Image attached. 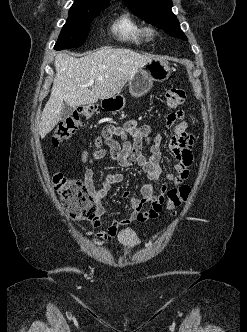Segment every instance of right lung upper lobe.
Returning a JSON list of instances; mask_svg holds the SVG:
<instances>
[{
    "label": "right lung upper lobe",
    "mask_w": 247,
    "mask_h": 332,
    "mask_svg": "<svg viewBox=\"0 0 247 332\" xmlns=\"http://www.w3.org/2000/svg\"><path fill=\"white\" fill-rule=\"evenodd\" d=\"M110 4V0H75L72 6L75 7H93Z\"/></svg>",
    "instance_id": "1"
}]
</instances>
